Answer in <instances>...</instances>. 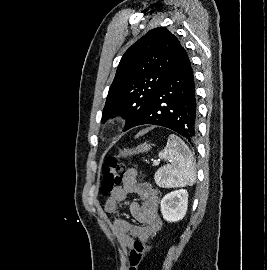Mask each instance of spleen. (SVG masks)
<instances>
[{"label": "spleen", "mask_w": 267, "mask_h": 270, "mask_svg": "<svg viewBox=\"0 0 267 270\" xmlns=\"http://www.w3.org/2000/svg\"><path fill=\"white\" fill-rule=\"evenodd\" d=\"M159 157L168 162L155 175V181L159 186L171 188L195 183L196 170L193 155L178 136L171 134L168 137L166 147L159 153Z\"/></svg>", "instance_id": "3e777b00"}]
</instances>
